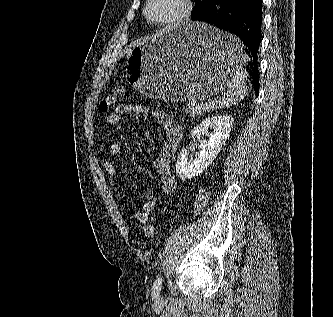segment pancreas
Returning a JSON list of instances; mask_svg holds the SVG:
<instances>
[{
	"label": "pancreas",
	"instance_id": "pancreas-1",
	"mask_svg": "<svg viewBox=\"0 0 333 317\" xmlns=\"http://www.w3.org/2000/svg\"><path fill=\"white\" fill-rule=\"evenodd\" d=\"M216 106H214V102H208V103H201V104H188L186 107H183V110H185V113H188L191 116H195L198 113H202L207 110L215 109Z\"/></svg>",
	"mask_w": 333,
	"mask_h": 317
}]
</instances>
